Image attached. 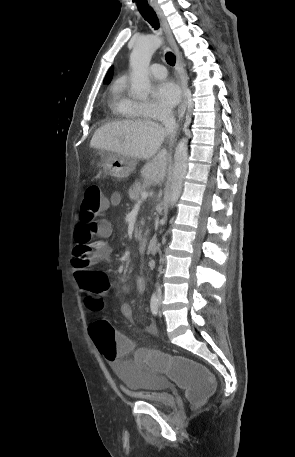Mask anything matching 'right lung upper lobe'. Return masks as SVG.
Wrapping results in <instances>:
<instances>
[{
    "instance_id": "cb5924a9",
    "label": "right lung upper lobe",
    "mask_w": 295,
    "mask_h": 457,
    "mask_svg": "<svg viewBox=\"0 0 295 457\" xmlns=\"http://www.w3.org/2000/svg\"><path fill=\"white\" fill-rule=\"evenodd\" d=\"M112 74H113V67H111L108 71V73L106 74L105 76V79H104V83H107L110 81V79L112 78Z\"/></svg>"
}]
</instances>
